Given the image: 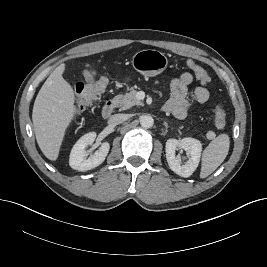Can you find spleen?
<instances>
[{"instance_id":"1","label":"spleen","mask_w":267,"mask_h":267,"mask_svg":"<svg viewBox=\"0 0 267 267\" xmlns=\"http://www.w3.org/2000/svg\"><path fill=\"white\" fill-rule=\"evenodd\" d=\"M230 146L229 136L220 134L205 148L202 155L200 178L213 173L225 160Z\"/></svg>"}]
</instances>
